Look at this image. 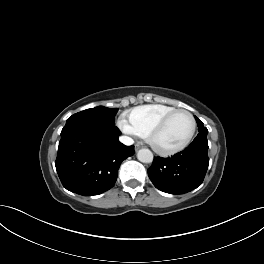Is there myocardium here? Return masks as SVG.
Returning a JSON list of instances; mask_svg holds the SVG:
<instances>
[{
    "label": "myocardium",
    "mask_w": 264,
    "mask_h": 264,
    "mask_svg": "<svg viewBox=\"0 0 264 264\" xmlns=\"http://www.w3.org/2000/svg\"><path fill=\"white\" fill-rule=\"evenodd\" d=\"M177 114H186L189 116V118L191 119L192 122V129L191 132L188 136V138L182 142L181 144L174 146V147H169V148H162L159 147L156 143H155V137L158 133H160L168 124V122ZM196 130H197V122L196 119L194 117V115L189 112L188 110H184V109H175L174 111L170 112L169 114H167L165 117H163L148 133L147 135V141L149 143V145L152 147V149L157 152L158 154L161 155H172L175 153H178L182 150H184L185 148H187L190 143L192 142V140L194 139V136L196 134Z\"/></svg>",
    "instance_id": "1"
}]
</instances>
